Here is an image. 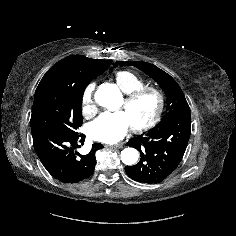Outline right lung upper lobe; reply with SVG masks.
Masks as SVG:
<instances>
[{
  "label": "right lung upper lobe",
  "mask_w": 236,
  "mask_h": 236,
  "mask_svg": "<svg viewBox=\"0 0 236 236\" xmlns=\"http://www.w3.org/2000/svg\"><path fill=\"white\" fill-rule=\"evenodd\" d=\"M111 60H94L82 55H71L52 66L41 79L36 92L50 83L74 85L94 79L107 70Z\"/></svg>",
  "instance_id": "1"
}]
</instances>
